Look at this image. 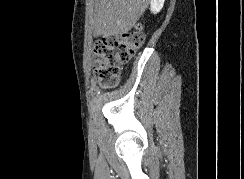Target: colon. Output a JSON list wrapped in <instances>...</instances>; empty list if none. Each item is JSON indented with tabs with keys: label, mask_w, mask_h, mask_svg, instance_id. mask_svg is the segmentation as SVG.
Returning a JSON list of instances; mask_svg holds the SVG:
<instances>
[{
	"label": "colon",
	"mask_w": 244,
	"mask_h": 179,
	"mask_svg": "<svg viewBox=\"0 0 244 179\" xmlns=\"http://www.w3.org/2000/svg\"><path fill=\"white\" fill-rule=\"evenodd\" d=\"M144 40L143 29L138 26L127 35L105 37L95 44V74L103 87L117 85L121 67L129 64L132 54L143 45Z\"/></svg>",
	"instance_id": "colon-1"
}]
</instances>
